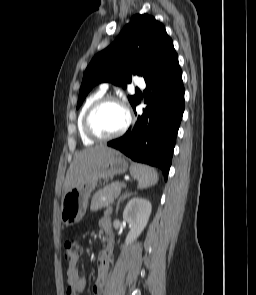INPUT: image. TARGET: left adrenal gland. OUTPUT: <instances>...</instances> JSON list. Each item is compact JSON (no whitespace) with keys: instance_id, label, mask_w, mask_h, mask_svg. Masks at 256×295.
I'll return each instance as SVG.
<instances>
[{"instance_id":"1","label":"left adrenal gland","mask_w":256,"mask_h":295,"mask_svg":"<svg viewBox=\"0 0 256 295\" xmlns=\"http://www.w3.org/2000/svg\"><path fill=\"white\" fill-rule=\"evenodd\" d=\"M133 194H136V192H135V193H132V192H129V190H125V192H124V193L120 196V198L118 199V202H117V205H116V211H115L116 214L118 213L120 203H121L124 199L130 197V196L133 195Z\"/></svg>"}]
</instances>
